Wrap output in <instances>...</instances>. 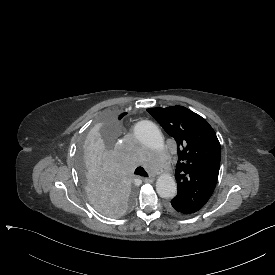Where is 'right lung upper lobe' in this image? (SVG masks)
Masks as SVG:
<instances>
[{
  "label": "right lung upper lobe",
  "instance_id": "1",
  "mask_svg": "<svg viewBox=\"0 0 275 275\" xmlns=\"http://www.w3.org/2000/svg\"><path fill=\"white\" fill-rule=\"evenodd\" d=\"M124 115H126V113H123V114L121 115V118H122Z\"/></svg>",
  "mask_w": 275,
  "mask_h": 275
}]
</instances>
